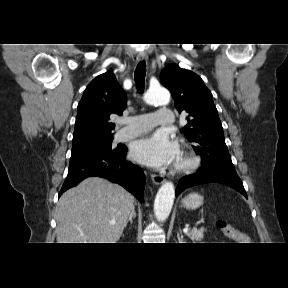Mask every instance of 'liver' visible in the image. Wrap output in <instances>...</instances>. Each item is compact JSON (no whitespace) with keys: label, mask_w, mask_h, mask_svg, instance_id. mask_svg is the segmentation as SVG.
Returning a JSON list of instances; mask_svg holds the SVG:
<instances>
[{"label":"liver","mask_w":288,"mask_h":288,"mask_svg":"<svg viewBox=\"0 0 288 288\" xmlns=\"http://www.w3.org/2000/svg\"><path fill=\"white\" fill-rule=\"evenodd\" d=\"M134 208V196L91 177L66 191L57 204V243H116Z\"/></svg>","instance_id":"6515ba94"}]
</instances>
